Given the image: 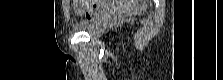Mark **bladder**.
Segmentation results:
<instances>
[{
	"label": "bladder",
	"mask_w": 223,
	"mask_h": 80,
	"mask_svg": "<svg viewBox=\"0 0 223 80\" xmlns=\"http://www.w3.org/2000/svg\"><path fill=\"white\" fill-rule=\"evenodd\" d=\"M109 22H110V15L103 14L88 19H84L74 24V28L79 32H84L88 34H97L102 30H104L108 26Z\"/></svg>",
	"instance_id": "1"
}]
</instances>
